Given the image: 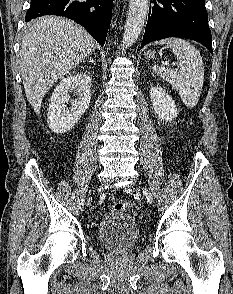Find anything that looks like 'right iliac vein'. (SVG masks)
<instances>
[{
  "label": "right iliac vein",
  "mask_w": 233,
  "mask_h": 294,
  "mask_svg": "<svg viewBox=\"0 0 233 294\" xmlns=\"http://www.w3.org/2000/svg\"><path fill=\"white\" fill-rule=\"evenodd\" d=\"M100 190H102V187L101 186L98 188V191H100Z\"/></svg>",
  "instance_id": "right-iliac-vein-1"
}]
</instances>
